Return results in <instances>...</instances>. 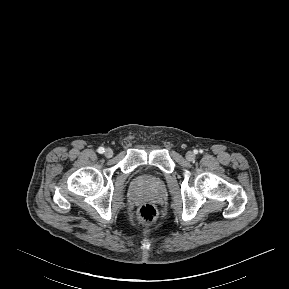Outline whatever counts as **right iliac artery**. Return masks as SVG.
Listing matches in <instances>:
<instances>
[{"label":"right iliac artery","mask_w":289,"mask_h":289,"mask_svg":"<svg viewBox=\"0 0 289 289\" xmlns=\"http://www.w3.org/2000/svg\"><path fill=\"white\" fill-rule=\"evenodd\" d=\"M98 152H99L100 154H102V153L105 152V149H104L103 147H99V148H98Z\"/></svg>","instance_id":"1"}]
</instances>
